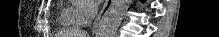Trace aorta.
<instances>
[{"label":"aorta","mask_w":219,"mask_h":37,"mask_svg":"<svg viewBox=\"0 0 219 37\" xmlns=\"http://www.w3.org/2000/svg\"><path fill=\"white\" fill-rule=\"evenodd\" d=\"M132 0H115L109 13L103 19L96 37H115L121 21Z\"/></svg>","instance_id":"762f6f07"}]
</instances>
